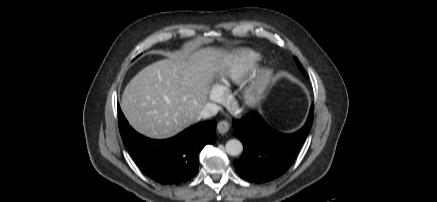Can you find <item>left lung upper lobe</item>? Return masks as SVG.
<instances>
[{
  "mask_svg": "<svg viewBox=\"0 0 437 202\" xmlns=\"http://www.w3.org/2000/svg\"><path fill=\"white\" fill-rule=\"evenodd\" d=\"M296 62H297V64H298L300 70L302 71V73H303L306 77H308L307 74H306V72L304 71V69H303L302 66L300 65V63H299V61H298L297 58H296Z\"/></svg>",
  "mask_w": 437,
  "mask_h": 202,
  "instance_id": "5c2ea615",
  "label": "left lung upper lobe"
}]
</instances>
